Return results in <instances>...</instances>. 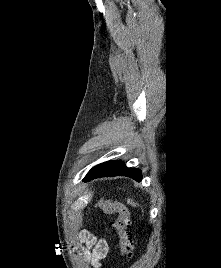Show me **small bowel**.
<instances>
[{
	"instance_id": "c3829d8e",
	"label": "small bowel",
	"mask_w": 221,
	"mask_h": 268,
	"mask_svg": "<svg viewBox=\"0 0 221 268\" xmlns=\"http://www.w3.org/2000/svg\"><path fill=\"white\" fill-rule=\"evenodd\" d=\"M80 240L84 244V255L94 268L100 267V262L107 256L109 245L105 240H98L88 231L80 234Z\"/></svg>"
}]
</instances>
